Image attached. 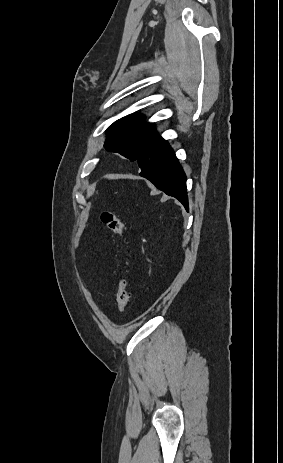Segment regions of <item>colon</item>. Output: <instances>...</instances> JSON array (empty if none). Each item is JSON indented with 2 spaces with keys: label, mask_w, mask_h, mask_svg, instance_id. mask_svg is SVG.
Returning a JSON list of instances; mask_svg holds the SVG:
<instances>
[{
  "label": "colon",
  "mask_w": 283,
  "mask_h": 463,
  "mask_svg": "<svg viewBox=\"0 0 283 463\" xmlns=\"http://www.w3.org/2000/svg\"><path fill=\"white\" fill-rule=\"evenodd\" d=\"M102 222L110 231L118 235L120 238H124L123 223L115 213L110 211L103 212ZM126 265L127 263L124 262L123 267L125 268ZM128 301L129 297L127 292V279L124 272L122 271L117 282V308L120 313L125 311L128 305Z\"/></svg>",
  "instance_id": "obj_1"
}]
</instances>
